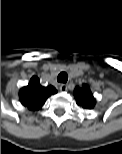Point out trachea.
Listing matches in <instances>:
<instances>
[{"label":"trachea","instance_id":"3493384b","mask_svg":"<svg viewBox=\"0 0 122 154\" xmlns=\"http://www.w3.org/2000/svg\"><path fill=\"white\" fill-rule=\"evenodd\" d=\"M67 80H68V75L66 72H61L57 77V81L59 83H66Z\"/></svg>","mask_w":122,"mask_h":154}]
</instances>
